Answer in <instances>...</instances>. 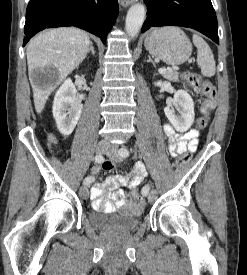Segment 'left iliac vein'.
<instances>
[{"label":"left iliac vein","instance_id":"1","mask_svg":"<svg viewBox=\"0 0 247 275\" xmlns=\"http://www.w3.org/2000/svg\"><path fill=\"white\" fill-rule=\"evenodd\" d=\"M107 156L115 162L121 161V158L119 157V150L116 145H113L110 147V149L107 152ZM142 195L146 196L148 195V193H145L144 190H142ZM156 196H157V192L155 190L152 191L149 195V201H154L156 199Z\"/></svg>","mask_w":247,"mask_h":275}]
</instances>
